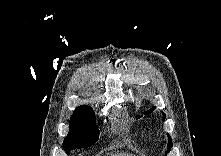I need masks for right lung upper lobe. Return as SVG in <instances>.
Here are the masks:
<instances>
[{"instance_id":"1","label":"right lung upper lobe","mask_w":221,"mask_h":156,"mask_svg":"<svg viewBox=\"0 0 221 156\" xmlns=\"http://www.w3.org/2000/svg\"><path fill=\"white\" fill-rule=\"evenodd\" d=\"M79 108H90V107H88V106H80V107H78L77 109H79ZM91 109V108H90Z\"/></svg>"}]
</instances>
